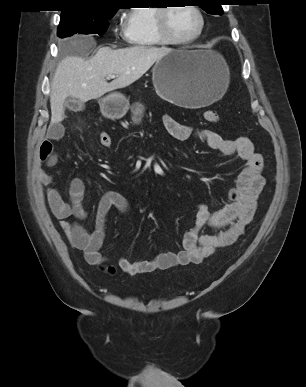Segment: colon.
<instances>
[{
    "instance_id": "obj_1",
    "label": "colon",
    "mask_w": 306,
    "mask_h": 387,
    "mask_svg": "<svg viewBox=\"0 0 306 387\" xmlns=\"http://www.w3.org/2000/svg\"><path fill=\"white\" fill-rule=\"evenodd\" d=\"M204 118L211 123H217L220 120L219 114L214 110H207L204 112ZM99 144L103 147H110L112 144V139L108 133L102 132L98 137ZM109 272H113L112 267H108Z\"/></svg>"
}]
</instances>
